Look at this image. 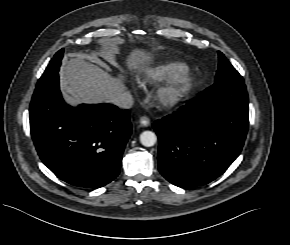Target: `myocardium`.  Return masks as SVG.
Wrapping results in <instances>:
<instances>
[{
    "mask_svg": "<svg viewBox=\"0 0 290 245\" xmlns=\"http://www.w3.org/2000/svg\"><path fill=\"white\" fill-rule=\"evenodd\" d=\"M195 83V77L189 71L167 78L157 88L155 99L162 108L171 109L189 96Z\"/></svg>",
    "mask_w": 290,
    "mask_h": 245,
    "instance_id": "myocardium-1",
    "label": "myocardium"
}]
</instances>
